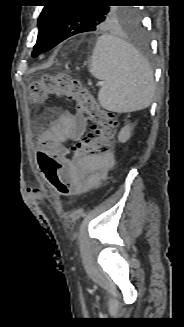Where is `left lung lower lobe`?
<instances>
[{"instance_id":"left-lung-lower-lobe-1","label":"left lung lower lobe","mask_w":184,"mask_h":327,"mask_svg":"<svg viewBox=\"0 0 184 327\" xmlns=\"http://www.w3.org/2000/svg\"><path fill=\"white\" fill-rule=\"evenodd\" d=\"M129 32L133 38V42L135 46L143 53H147L150 49L149 39L146 35V32L143 26L140 23H137L135 26L129 28ZM75 31H68V29H64L62 22L57 26L51 40L46 46L43 52H47L48 50L55 47L57 44L67 39L68 37L77 34Z\"/></svg>"}]
</instances>
